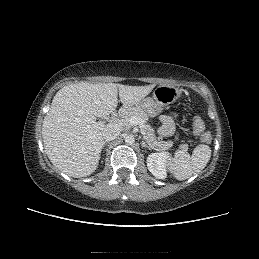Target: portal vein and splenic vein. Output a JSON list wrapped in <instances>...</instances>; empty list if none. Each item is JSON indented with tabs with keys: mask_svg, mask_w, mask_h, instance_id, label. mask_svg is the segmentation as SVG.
<instances>
[{
	"mask_svg": "<svg viewBox=\"0 0 259 259\" xmlns=\"http://www.w3.org/2000/svg\"><path fill=\"white\" fill-rule=\"evenodd\" d=\"M128 123H129V125H134V126H136V125H139V127H140V129H141V133H142V135H145L146 133H145V125H144V122L143 121H141L139 118H137V117H132V118H130L129 120H128Z\"/></svg>",
	"mask_w": 259,
	"mask_h": 259,
	"instance_id": "1",
	"label": "portal vein and splenic vein"
}]
</instances>
